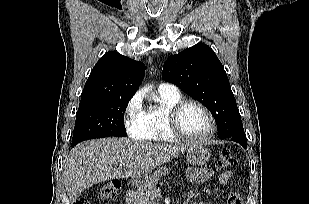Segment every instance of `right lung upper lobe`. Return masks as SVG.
I'll list each match as a JSON object with an SVG mask.
<instances>
[{
    "label": "right lung upper lobe",
    "mask_w": 309,
    "mask_h": 204,
    "mask_svg": "<svg viewBox=\"0 0 309 204\" xmlns=\"http://www.w3.org/2000/svg\"><path fill=\"white\" fill-rule=\"evenodd\" d=\"M145 74V65L117 52H107L93 67L84 86L81 103L135 94Z\"/></svg>",
    "instance_id": "cb5924a9"
}]
</instances>
